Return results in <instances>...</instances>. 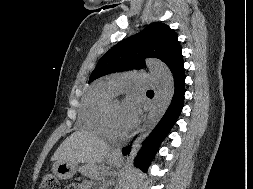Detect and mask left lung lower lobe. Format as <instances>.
<instances>
[{"label": "left lung lower lobe", "mask_w": 253, "mask_h": 189, "mask_svg": "<svg viewBox=\"0 0 253 189\" xmlns=\"http://www.w3.org/2000/svg\"><path fill=\"white\" fill-rule=\"evenodd\" d=\"M183 64L184 62L179 64L173 71L175 92L170 106L161 121L150 134L149 138L145 141V146L141 149L135 159V166L142 169L144 172H147L148 166L150 165L161 141L169 133L183 108L185 94V73ZM129 151L130 146H127L122 150L124 155H127Z\"/></svg>", "instance_id": "obj_1"}]
</instances>
